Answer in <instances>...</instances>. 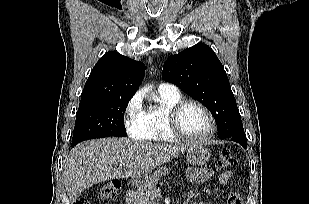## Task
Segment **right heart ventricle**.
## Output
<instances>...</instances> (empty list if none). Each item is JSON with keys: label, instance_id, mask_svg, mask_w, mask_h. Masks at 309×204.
I'll return each mask as SVG.
<instances>
[{"label": "right heart ventricle", "instance_id": "1", "mask_svg": "<svg viewBox=\"0 0 309 204\" xmlns=\"http://www.w3.org/2000/svg\"><path fill=\"white\" fill-rule=\"evenodd\" d=\"M181 99L182 96L179 92H159V105L144 112L145 134L143 139L153 142H174L176 140L168 129L166 119L168 110Z\"/></svg>", "mask_w": 309, "mask_h": 204}]
</instances>
